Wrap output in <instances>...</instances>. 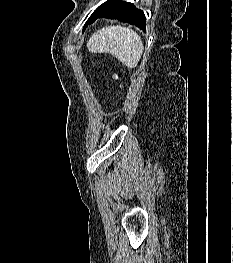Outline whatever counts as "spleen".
I'll return each instance as SVG.
<instances>
[{
	"label": "spleen",
	"mask_w": 233,
	"mask_h": 263,
	"mask_svg": "<svg viewBox=\"0 0 233 263\" xmlns=\"http://www.w3.org/2000/svg\"><path fill=\"white\" fill-rule=\"evenodd\" d=\"M93 53H108L123 65L137 67L144 50L141 37L132 29L119 25L107 26L95 32L87 42Z\"/></svg>",
	"instance_id": "obj_1"
}]
</instances>
